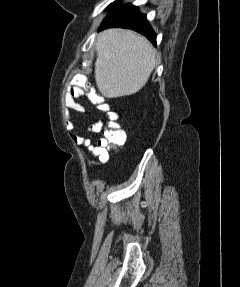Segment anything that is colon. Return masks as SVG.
<instances>
[{
    "mask_svg": "<svg viewBox=\"0 0 240 287\" xmlns=\"http://www.w3.org/2000/svg\"><path fill=\"white\" fill-rule=\"evenodd\" d=\"M93 102L96 103L99 108L107 112L110 121L108 122L103 135L107 144L112 146L123 145L126 141V133L117 123L118 115L110 110L109 105L104 101L103 97L93 93L91 95Z\"/></svg>",
    "mask_w": 240,
    "mask_h": 287,
    "instance_id": "5ec220e1",
    "label": "colon"
}]
</instances>
